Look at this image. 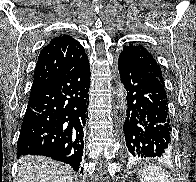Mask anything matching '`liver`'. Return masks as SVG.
Returning a JSON list of instances; mask_svg holds the SVG:
<instances>
[{
	"label": "liver",
	"instance_id": "1",
	"mask_svg": "<svg viewBox=\"0 0 196 182\" xmlns=\"http://www.w3.org/2000/svg\"><path fill=\"white\" fill-rule=\"evenodd\" d=\"M72 169L44 156H25L19 160L17 182H72Z\"/></svg>",
	"mask_w": 196,
	"mask_h": 182
}]
</instances>
